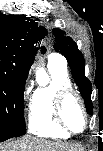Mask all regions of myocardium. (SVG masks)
I'll list each match as a JSON object with an SVG mask.
<instances>
[{
    "instance_id": "f54148a6",
    "label": "myocardium",
    "mask_w": 103,
    "mask_h": 151,
    "mask_svg": "<svg viewBox=\"0 0 103 151\" xmlns=\"http://www.w3.org/2000/svg\"><path fill=\"white\" fill-rule=\"evenodd\" d=\"M69 97L76 98V100L78 101V103H79V105H80V107H81V109L83 111V115H84V127L80 131L74 130L66 122V120L64 118V114H63L64 104H65L66 100ZM53 117H54L55 123L60 128H62L66 132H68L69 134H80V133L84 132L87 129L88 123H89V114H88L86 105H85L82 97L79 95V93L76 92L72 88H64V89L59 90L56 93V96L54 98V105H53Z\"/></svg>"
}]
</instances>
